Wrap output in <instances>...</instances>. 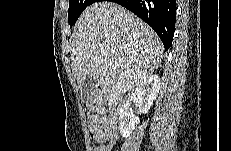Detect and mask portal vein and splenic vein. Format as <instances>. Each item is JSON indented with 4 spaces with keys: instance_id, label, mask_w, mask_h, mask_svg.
<instances>
[{
    "instance_id": "18ae733b",
    "label": "portal vein and splenic vein",
    "mask_w": 231,
    "mask_h": 151,
    "mask_svg": "<svg viewBox=\"0 0 231 151\" xmlns=\"http://www.w3.org/2000/svg\"><path fill=\"white\" fill-rule=\"evenodd\" d=\"M114 65H115V66H117L118 64H117V63H115Z\"/></svg>"
}]
</instances>
